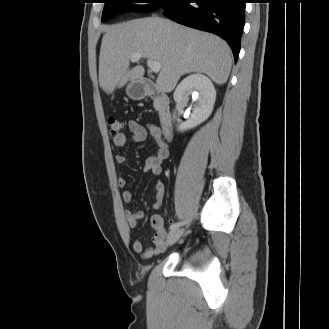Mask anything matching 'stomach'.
<instances>
[{
  "label": "stomach",
  "instance_id": "1",
  "mask_svg": "<svg viewBox=\"0 0 329 329\" xmlns=\"http://www.w3.org/2000/svg\"><path fill=\"white\" fill-rule=\"evenodd\" d=\"M127 95L133 100H141L148 93V86L143 80L131 81L126 87Z\"/></svg>",
  "mask_w": 329,
  "mask_h": 329
}]
</instances>
